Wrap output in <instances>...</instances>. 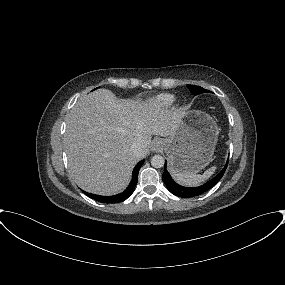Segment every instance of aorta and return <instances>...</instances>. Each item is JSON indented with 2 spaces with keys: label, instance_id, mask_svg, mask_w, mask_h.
<instances>
[{
  "label": "aorta",
  "instance_id": "aorta-1",
  "mask_svg": "<svg viewBox=\"0 0 285 285\" xmlns=\"http://www.w3.org/2000/svg\"><path fill=\"white\" fill-rule=\"evenodd\" d=\"M151 165L154 168H161L164 166V158L161 155H154L151 158Z\"/></svg>",
  "mask_w": 285,
  "mask_h": 285
}]
</instances>
